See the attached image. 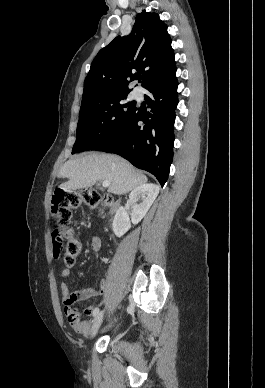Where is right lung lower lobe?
<instances>
[{
	"mask_svg": "<svg viewBox=\"0 0 265 388\" xmlns=\"http://www.w3.org/2000/svg\"><path fill=\"white\" fill-rule=\"evenodd\" d=\"M177 87L176 72L145 87L150 93L145 99L151 111L136 108L123 128L101 149L154 174L162 186L173 157Z\"/></svg>",
	"mask_w": 265,
	"mask_h": 388,
	"instance_id": "98d812e1",
	"label": "right lung lower lobe"
}]
</instances>
